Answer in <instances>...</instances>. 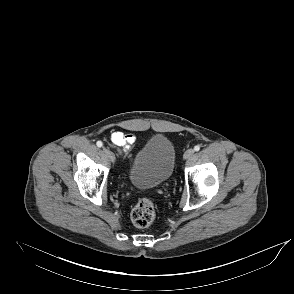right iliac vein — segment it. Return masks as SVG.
Returning a JSON list of instances; mask_svg holds the SVG:
<instances>
[{"label":"right iliac vein","mask_w":294,"mask_h":294,"mask_svg":"<svg viewBox=\"0 0 294 294\" xmlns=\"http://www.w3.org/2000/svg\"><path fill=\"white\" fill-rule=\"evenodd\" d=\"M103 150L107 153V155L109 156V158L114 162L115 161V155L113 152H111L110 150H108L107 148H103Z\"/></svg>","instance_id":"right-iliac-vein-1"}]
</instances>
